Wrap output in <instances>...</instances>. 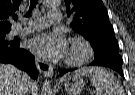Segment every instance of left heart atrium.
Masks as SVG:
<instances>
[{"label":"left heart atrium","instance_id":"1","mask_svg":"<svg viewBox=\"0 0 135 95\" xmlns=\"http://www.w3.org/2000/svg\"><path fill=\"white\" fill-rule=\"evenodd\" d=\"M28 49L37 56L61 59L67 55L68 44L61 33H41L27 42Z\"/></svg>","mask_w":135,"mask_h":95}]
</instances>
